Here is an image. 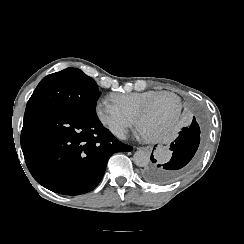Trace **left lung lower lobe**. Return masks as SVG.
Masks as SVG:
<instances>
[{
	"instance_id": "obj_1",
	"label": "left lung lower lobe",
	"mask_w": 244,
	"mask_h": 244,
	"mask_svg": "<svg viewBox=\"0 0 244 244\" xmlns=\"http://www.w3.org/2000/svg\"><path fill=\"white\" fill-rule=\"evenodd\" d=\"M200 143V127L198 120L193 117L189 127H185L179 133V137L171 143L173 151L169 162L158 164L151 155L152 163L143 168L142 178L153 184L165 185L183 178L193 166L197 157Z\"/></svg>"
}]
</instances>
